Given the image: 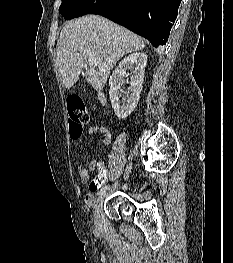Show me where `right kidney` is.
<instances>
[{"mask_svg":"<svg viewBox=\"0 0 233 263\" xmlns=\"http://www.w3.org/2000/svg\"><path fill=\"white\" fill-rule=\"evenodd\" d=\"M146 63V54L132 53L119 63L110 76L109 96L115 114L120 119L128 117L137 106L142 91ZM127 70L131 71V74L127 73ZM124 78H127L126 83L130 85L128 93L125 94L121 90L125 82Z\"/></svg>","mask_w":233,"mask_h":263,"instance_id":"obj_1","label":"right kidney"}]
</instances>
